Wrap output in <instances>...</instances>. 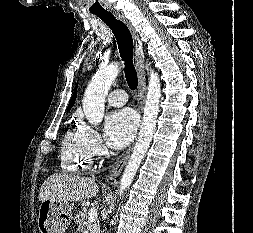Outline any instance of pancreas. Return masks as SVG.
I'll return each instance as SVG.
<instances>
[{"label":"pancreas","mask_w":253,"mask_h":233,"mask_svg":"<svg viewBox=\"0 0 253 233\" xmlns=\"http://www.w3.org/2000/svg\"><path fill=\"white\" fill-rule=\"evenodd\" d=\"M76 222L79 224L80 230H84L86 228L89 229V233H100V223L99 220L96 219L94 222L88 221V213L87 209L83 208L76 215Z\"/></svg>","instance_id":"obj_1"}]
</instances>
